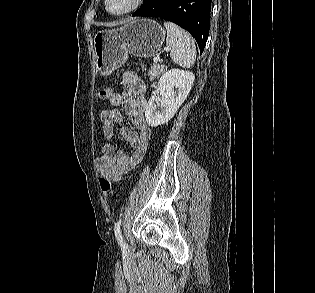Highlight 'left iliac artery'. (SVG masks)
Returning <instances> with one entry per match:
<instances>
[{
  "mask_svg": "<svg viewBox=\"0 0 315 293\" xmlns=\"http://www.w3.org/2000/svg\"><path fill=\"white\" fill-rule=\"evenodd\" d=\"M121 221H122L121 217L116 221L115 227H114V232H115V236H116V239H117L118 244L120 245V247L123 248V249H126L127 248V244H126L125 240L123 239V236H122L121 230H120Z\"/></svg>",
  "mask_w": 315,
  "mask_h": 293,
  "instance_id": "obj_1",
  "label": "left iliac artery"
}]
</instances>
